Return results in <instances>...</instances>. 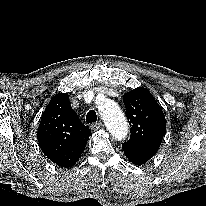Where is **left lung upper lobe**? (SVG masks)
Here are the masks:
<instances>
[{
  "instance_id": "left-lung-upper-lobe-1",
  "label": "left lung upper lobe",
  "mask_w": 206,
  "mask_h": 206,
  "mask_svg": "<svg viewBox=\"0 0 206 206\" xmlns=\"http://www.w3.org/2000/svg\"><path fill=\"white\" fill-rule=\"evenodd\" d=\"M126 115L131 126L130 140L123 150L156 154L166 132L165 115L152 94L144 87L123 95Z\"/></svg>"
}]
</instances>
